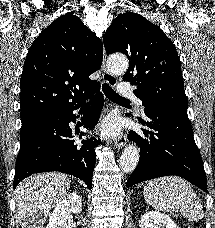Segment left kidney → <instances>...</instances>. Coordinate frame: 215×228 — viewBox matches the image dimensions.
I'll return each mask as SVG.
<instances>
[{
	"instance_id": "left-kidney-1",
	"label": "left kidney",
	"mask_w": 215,
	"mask_h": 228,
	"mask_svg": "<svg viewBox=\"0 0 215 228\" xmlns=\"http://www.w3.org/2000/svg\"><path fill=\"white\" fill-rule=\"evenodd\" d=\"M140 228H178L169 216L160 212H146L140 220Z\"/></svg>"
}]
</instances>
